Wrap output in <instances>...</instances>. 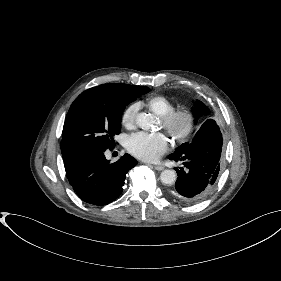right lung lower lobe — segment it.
I'll return each instance as SVG.
<instances>
[{
	"label": "right lung lower lobe",
	"instance_id": "obj_1",
	"mask_svg": "<svg viewBox=\"0 0 281 281\" xmlns=\"http://www.w3.org/2000/svg\"><path fill=\"white\" fill-rule=\"evenodd\" d=\"M104 151L85 152L64 164L76 194L86 203L98 206L109 204L120 196L127 172L137 165L136 159L129 154L110 163Z\"/></svg>",
	"mask_w": 281,
	"mask_h": 281
}]
</instances>
